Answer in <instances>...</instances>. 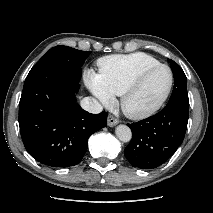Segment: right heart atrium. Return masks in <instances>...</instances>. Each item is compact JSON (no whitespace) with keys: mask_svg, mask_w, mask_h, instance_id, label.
<instances>
[{"mask_svg":"<svg viewBox=\"0 0 213 213\" xmlns=\"http://www.w3.org/2000/svg\"><path fill=\"white\" fill-rule=\"evenodd\" d=\"M86 83L91 92L104 104H110L113 101L111 95L103 86L100 75L93 71L86 73Z\"/></svg>","mask_w":213,"mask_h":213,"instance_id":"right-heart-atrium-1","label":"right heart atrium"}]
</instances>
